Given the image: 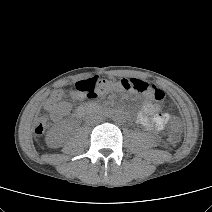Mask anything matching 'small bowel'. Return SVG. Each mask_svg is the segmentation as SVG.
Returning a JSON list of instances; mask_svg holds the SVG:
<instances>
[{
    "instance_id": "c3829d8e",
    "label": "small bowel",
    "mask_w": 212,
    "mask_h": 212,
    "mask_svg": "<svg viewBox=\"0 0 212 212\" xmlns=\"http://www.w3.org/2000/svg\"><path fill=\"white\" fill-rule=\"evenodd\" d=\"M65 94L66 92L63 90H55L44 103V109L53 121H58L68 115L72 109L71 104L63 100ZM68 94L72 98H80V95L74 91H70ZM169 119L170 115L162 112L160 106L151 101H145L137 115V122L148 130L164 129Z\"/></svg>"
}]
</instances>
